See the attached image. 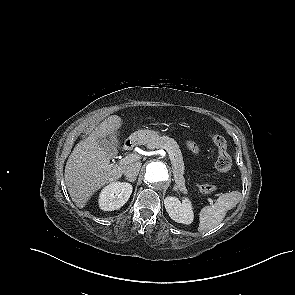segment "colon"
<instances>
[{
  "label": "colon",
  "mask_w": 295,
  "mask_h": 295,
  "mask_svg": "<svg viewBox=\"0 0 295 295\" xmlns=\"http://www.w3.org/2000/svg\"><path fill=\"white\" fill-rule=\"evenodd\" d=\"M213 141L217 147L216 168L220 172H227L232 166L228 143L220 134H214ZM199 190L203 194H211L216 190V185L210 182H204L199 185Z\"/></svg>",
  "instance_id": "colon-1"
}]
</instances>
